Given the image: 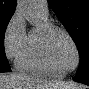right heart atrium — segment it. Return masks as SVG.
<instances>
[{
	"instance_id": "d8ad5b80",
	"label": "right heart atrium",
	"mask_w": 89,
	"mask_h": 89,
	"mask_svg": "<svg viewBox=\"0 0 89 89\" xmlns=\"http://www.w3.org/2000/svg\"><path fill=\"white\" fill-rule=\"evenodd\" d=\"M27 39L26 25L24 18L16 12L8 22L4 33V50L8 59L17 62L22 53Z\"/></svg>"
}]
</instances>
